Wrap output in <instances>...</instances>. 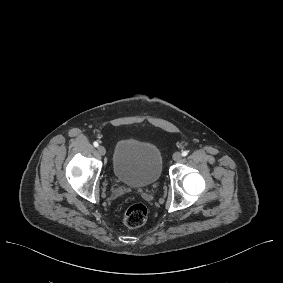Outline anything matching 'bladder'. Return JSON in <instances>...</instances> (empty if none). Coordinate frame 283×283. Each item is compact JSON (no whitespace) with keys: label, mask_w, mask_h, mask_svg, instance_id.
<instances>
[{"label":"bladder","mask_w":283,"mask_h":283,"mask_svg":"<svg viewBox=\"0 0 283 283\" xmlns=\"http://www.w3.org/2000/svg\"><path fill=\"white\" fill-rule=\"evenodd\" d=\"M162 156L152 142L123 137L118 140L113 174L122 184L145 187L158 181Z\"/></svg>","instance_id":"obj_1"}]
</instances>
